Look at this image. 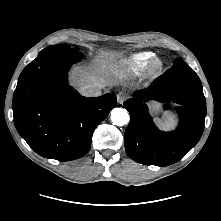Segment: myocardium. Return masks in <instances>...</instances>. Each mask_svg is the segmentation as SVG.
Here are the masks:
<instances>
[{"mask_svg": "<svg viewBox=\"0 0 221 221\" xmlns=\"http://www.w3.org/2000/svg\"><path fill=\"white\" fill-rule=\"evenodd\" d=\"M163 69V62L159 58H153L149 62V71L152 74H157Z\"/></svg>", "mask_w": 221, "mask_h": 221, "instance_id": "1", "label": "myocardium"}]
</instances>
